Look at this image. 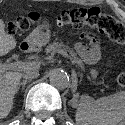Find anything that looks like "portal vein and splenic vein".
<instances>
[{
	"label": "portal vein and splenic vein",
	"instance_id": "18ae733b",
	"mask_svg": "<svg viewBox=\"0 0 125 125\" xmlns=\"http://www.w3.org/2000/svg\"><path fill=\"white\" fill-rule=\"evenodd\" d=\"M58 53L63 55L65 58H69V55L64 50H60ZM38 67H39V62H36V61H33V62L16 61L14 63H10L3 66H1L0 64V73L4 72L5 69L29 71V70L37 69Z\"/></svg>",
	"mask_w": 125,
	"mask_h": 125
}]
</instances>
